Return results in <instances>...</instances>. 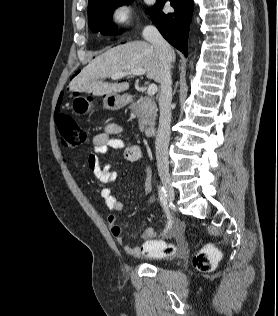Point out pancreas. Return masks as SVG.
I'll use <instances>...</instances> for the list:
<instances>
[{
  "instance_id": "obj_1",
  "label": "pancreas",
  "mask_w": 278,
  "mask_h": 316,
  "mask_svg": "<svg viewBox=\"0 0 278 316\" xmlns=\"http://www.w3.org/2000/svg\"><path fill=\"white\" fill-rule=\"evenodd\" d=\"M130 109L139 117V129L144 131L148 126L153 127L157 117V106L153 98L141 97L130 105Z\"/></svg>"
}]
</instances>
